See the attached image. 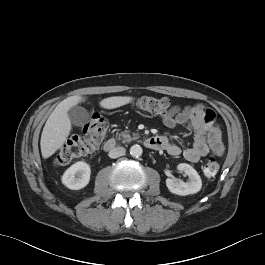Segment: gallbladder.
I'll use <instances>...</instances> for the list:
<instances>
[{"instance_id":"1","label":"gallbladder","mask_w":265,"mask_h":265,"mask_svg":"<svg viewBox=\"0 0 265 265\" xmlns=\"http://www.w3.org/2000/svg\"><path fill=\"white\" fill-rule=\"evenodd\" d=\"M69 118L75 126H84L89 121V113L81 106H74L68 111Z\"/></svg>"}]
</instances>
